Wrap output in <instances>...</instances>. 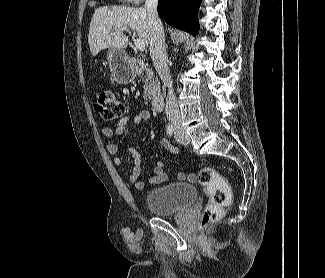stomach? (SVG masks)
Wrapping results in <instances>:
<instances>
[{
	"mask_svg": "<svg viewBox=\"0 0 325 278\" xmlns=\"http://www.w3.org/2000/svg\"><path fill=\"white\" fill-rule=\"evenodd\" d=\"M107 56L113 78L118 84H128L134 80L136 73L124 50L108 49Z\"/></svg>",
	"mask_w": 325,
	"mask_h": 278,
	"instance_id": "0dacf381",
	"label": "stomach"
}]
</instances>
